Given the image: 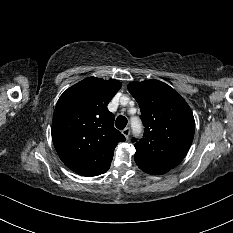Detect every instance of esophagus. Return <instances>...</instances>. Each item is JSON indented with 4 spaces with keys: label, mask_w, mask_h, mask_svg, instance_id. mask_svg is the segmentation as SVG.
<instances>
[{
    "label": "esophagus",
    "mask_w": 233,
    "mask_h": 233,
    "mask_svg": "<svg viewBox=\"0 0 233 233\" xmlns=\"http://www.w3.org/2000/svg\"><path fill=\"white\" fill-rule=\"evenodd\" d=\"M122 134L126 137V139H128L130 135V128L126 127L125 129H123Z\"/></svg>",
    "instance_id": "34e87169"
}]
</instances>
